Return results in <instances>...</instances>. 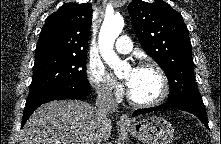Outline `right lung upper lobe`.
<instances>
[{
    "label": "right lung upper lobe",
    "instance_id": "1",
    "mask_svg": "<svg viewBox=\"0 0 221 144\" xmlns=\"http://www.w3.org/2000/svg\"><path fill=\"white\" fill-rule=\"evenodd\" d=\"M91 21L90 3L64 4L58 11L47 17L35 54H86Z\"/></svg>",
    "mask_w": 221,
    "mask_h": 144
}]
</instances>
